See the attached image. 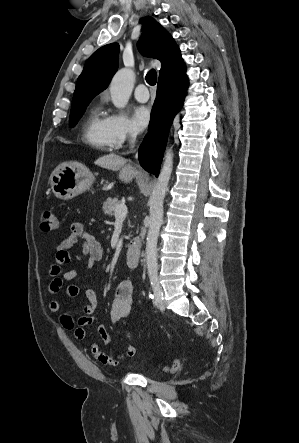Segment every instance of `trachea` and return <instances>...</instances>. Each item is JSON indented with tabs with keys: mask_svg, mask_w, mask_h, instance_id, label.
Here are the masks:
<instances>
[{
	"mask_svg": "<svg viewBox=\"0 0 299 443\" xmlns=\"http://www.w3.org/2000/svg\"><path fill=\"white\" fill-rule=\"evenodd\" d=\"M145 79L149 85L154 86L157 82V73L155 69H151L150 71H148Z\"/></svg>",
	"mask_w": 299,
	"mask_h": 443,
	"instance_id": "3493384b",
	"label": "trachea"
}]
</instances>
